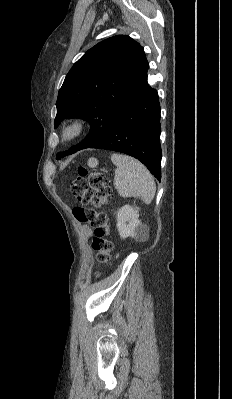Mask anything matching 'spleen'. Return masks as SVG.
<instances>
[{
    "label": "spleen",
    "instance_id": "3e777b00",
    "mask_svg": "<svg viewBox=\"0 0 232 399\" xmlns=\"http://www.w3.org/2000/svg\"><path fill=\"white\" fill-rule=\"evenodd\" d=\"M111 160L116 166L114 186L122 198H141L151 203L155 196L156 184L149 170L130 156L112 154Z\"/></svg>",
    "mask_w": 232,
    "mask_h": 399
}]
</instances>
